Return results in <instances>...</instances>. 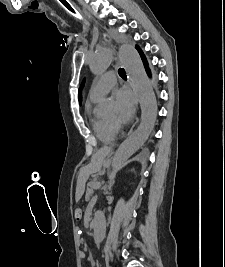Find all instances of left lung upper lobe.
I'll use <instances>...</instances> for the list:
<instances>
[{
  "mask_svg": "<svg viewBox=\"0 0 225 267\" xmlns=\"http://www.w3.org/2000/svg\"><path fill=\"white\" fill-rule=\"evenodd\" d=\"M84 83H85V81L83 80V82H82V84H81V87H80V89H79V102H80V104H81V102H82L81 90H82V88L84 87Z\"/></svg>",
  "mask_w": 225,
  "mask_h": 267,
  "instance_id": "5c2ea615",
  "label": "left lung upper lobe"
}]
</instances>
